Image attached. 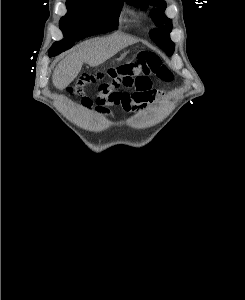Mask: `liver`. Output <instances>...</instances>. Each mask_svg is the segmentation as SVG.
<instances>
[{"label":"liver","instance_id":"1","mask_svg":"<svg viewBox=\"0 0 245 300\" xmlns=\"http://www.w3.org/2000/svg\"><path fill=\"white\" fill-rule=\"evenodd\" d=\"M135 42L136 39L121 34L85 42L56 66L53 72L54 86L59 90L65 89L77 77L84 63L91 67L98 66Z\"/></svg>","mask_w":245,"mask_h":300}]
</instances>
